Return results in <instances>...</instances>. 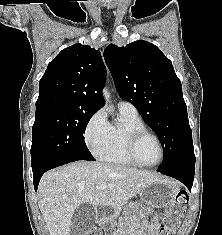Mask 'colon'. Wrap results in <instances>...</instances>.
I'll return each instance as SVG.
<instances>
[{
	"label": "colon",
	"instance_id": "5ec220e1",
	"mask_svg": "<svg viewBox=\"0 0 222 235\" xmlns=\"http://www.w3.org/2000/svg\"><path fill=\"white\" fill-rule=\"evenodd\" d=\"M187 192L179 191L174 201L167 207L162 218V224L158 235H173L176 225L185 214L186 205L188 203ZM88 235H102L101 233L92 231Z\"/></svg>",
	"mask_w": 222,
	"mask_h": 235
}]
</instances>
